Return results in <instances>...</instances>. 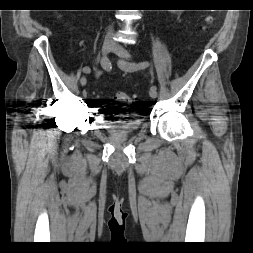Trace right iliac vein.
Instances as JSON below:
<instances>
[{"instance_id": "63e3f726", "label": "right iliac vein", "mask_w": 253, "mask_h": 253, "mask_svg": "<svg viewBox=\"0 0 253 253\" xmlns=\"http://www.w3.org/2000/svg\"><path fill=\"white\" fill-rule=\"evenodd\" d=\"M113 47H114V43H113L112 39L109 37L105 38V40L102 44V53L104 55H107L110 51H112ZM86 82H87L86 77H82L80 79V83L82 86L86 85Z\"/></svg>"}]
</instances>
